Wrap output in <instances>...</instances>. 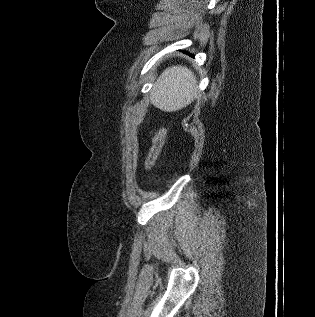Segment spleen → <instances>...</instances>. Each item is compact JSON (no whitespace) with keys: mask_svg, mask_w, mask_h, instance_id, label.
<instances>
[{"mask_svg":"<svg viewBox=\"0 0 315 317\" xmlns=\"http://www.w3.org/2000/svg\"><path fill=\"white\" fill-rule=\"evenodd\" d=\"M197 92L194 73L177 65L163 71L150 92V101L162 111L173 112L191 104Z\"/></svg>","mask_w":315,"mask_h":317,"instance_id":"obj_1","label":"spleen"}]
</instances>
